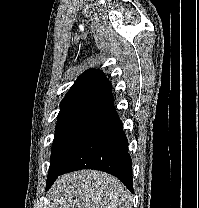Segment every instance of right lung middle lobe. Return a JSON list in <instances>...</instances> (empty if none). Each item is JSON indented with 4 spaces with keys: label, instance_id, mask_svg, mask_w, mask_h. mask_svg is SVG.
I'll use <instances>...</instances> for the list:
<instances>
[{
    "label": "right lung middle lobe",
    "instance_id": "right-lung-middle-lobe-1",
    "mask_svg": "<svg viewBox=\"0 0 199 208\" xmlns=\"http://www.w3.org/2000/svg\"><path fill=\"white\" fill-rule=\"evenodd\" d=\"M99 111L98 108H88L58 115L47 180L56 175L71 158Z\"/></svg>",
    "mask_w": 199,
    "mask_h": 208
}]
</instances>
